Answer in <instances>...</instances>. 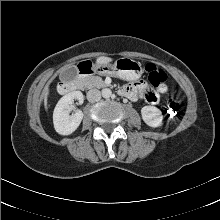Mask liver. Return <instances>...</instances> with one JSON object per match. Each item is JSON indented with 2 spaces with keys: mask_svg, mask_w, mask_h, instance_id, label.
Wrapping results in <instances>:
<instances>
[{
  "mask_svg": "<svg viewBox=\"0 0 220 220\" xmlns=\"http://www.w3.org/2000/svg\"><path fill=\"white\" fill-rule=\"evenodd\" d=\"M111 61H112V58H110V57L100 56L96 59V64H99V65L108 64ZM47 96H48V88L45 89V93H44V106H45V109H47Z\"/></svg>",
  "mask_w": 220,
  "mask_h": 220,
  "instance_id": "1",
  "label": "liver"
}]
</instances>
